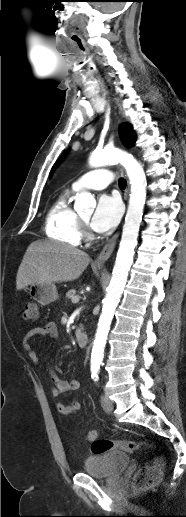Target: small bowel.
<instances>
[{
	"mask_svg": "<svg viewBox=\"0 0 186 517\" xmlns=\"http://www.w3.org/2000/svg\"><path fill=\"white\" fill-rule=\"evenodd\" d=\"M58 336V329L56 324L53 321H49L45 323L42 326H38L36 328H33L30 330L25 338L24 346L25 349L28 351L29 357L33 361H37V355L32 349V345L35 341L38 339H45V338H57ZM49 376L52 383V389L51 393L52 396L56 399H58L63 393L72 391V390H78L81 387V383L78 379H72V380H64L60 378L54 367L51 365L49 367ZM57 410L59 414L62 416H70L81 410L82 404L78 400H71L69 404H65L63 402L57 403ZM93 434L94 437L98 436L97 431H89L86 434L85 440L87 442H90V434Z\"/></svg>",
	"mask_w": 186,
	"mask_h": 517,
	"instance_id": "small-bowel-1",
	"label": "small bowel"
}]
</instances>
